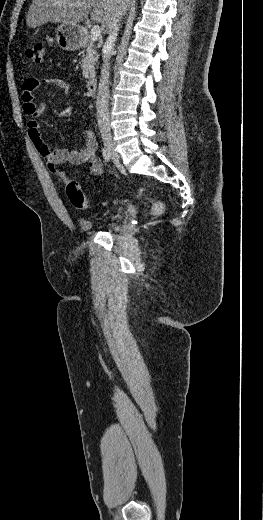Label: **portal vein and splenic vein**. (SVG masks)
I'll return each mask as SVG.
<instances>
[{"instance_id":"portal-vein-and-splenic-vein-1","label":"portal vein and splenic vein","mask_w":263,"mask_h":520,"mask_svg":"<svg viewBox=\"0 0 263 520\" xmlns=\"http://www.w3.org/2000/svg\"><path fill=\"white\" fill-rule=\"evenodd\" d=\"M78 5L80 6L81 3H78ZM101 36V28L99 27V25H94L92 28H91V35H90V39L92 41H96L98 38H100Z\"/></svg>"}]
</instances>
